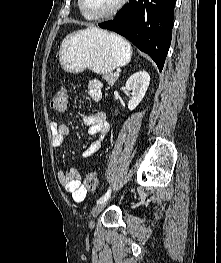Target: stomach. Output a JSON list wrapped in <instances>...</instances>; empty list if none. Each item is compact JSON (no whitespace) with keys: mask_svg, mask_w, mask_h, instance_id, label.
Wrapping results in <instances>:
<instances>
[{"mask_svg":"<svg viewBox=\"0 0 221 263\" xmlns=\"http://www.w3.org/2000/svg\"><path fill=\"white\" fill-rule=\"evenodd\" d=\"M130 60V45L119 35L100 29H86L67 36L59 50L60 64L70 73L89 69L108 74Z\"/></svg>","mask_w":221,"mask_h":263,"instance_id":"1","label":"stomach"}]
</instances>
